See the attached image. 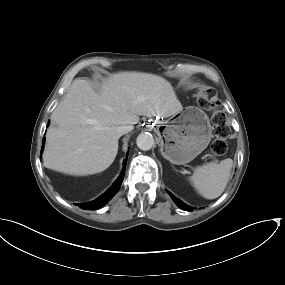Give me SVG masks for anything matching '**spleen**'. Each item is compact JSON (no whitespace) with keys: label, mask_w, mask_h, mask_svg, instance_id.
<instances>
[{"label":"spleen","mask_w":285,"mask_h":285,"mask_svg":"<svg viewBox=\"0 0 285 285\" xmlns=\"http://www.w3.org/2000/svg\"><path fill=\"white\" fill-rule=\"evenodd\" d=\"M233 161L210 162L195 169L190 180L198 193L206 199L219 197L229 181Z\"/></svg>","instance_id":"obj_1"}]
</instances>
